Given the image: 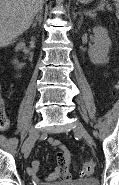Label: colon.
<instances>
[{
  "mask_svg": "<svg viewBox=\"0 0 119 185\" xmlns=\"http://www.w3.org/2000/svg\"><path fill=\"white\" fill-rule=\"evenodd\" d=\"M8 119L6 118L5 114L0 109V128L5 130L8 128ZM94 171V164L91 161L84 162L80 167V174L82 176H89Z\"/></svg>",
  "mask_w": 119,
  "mask_h": 185,
  "instance_id": "5ec220e1",
  "label": "colon"
}]
</instances>
